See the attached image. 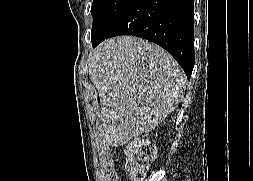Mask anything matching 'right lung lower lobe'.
Listing matches in <instances>:
<instances>
[{"mask_svg": "<svg viewBox=\"0 0 253 181\" xmlns=\"http://www.w3.org/2000/svg\"><path fill=\"white\" fill-rule=\"evenodd\" d=\"M193 14V0H131L99 35L91 36L92 45L119 35L150 40L166 49L190 79L194 66Z\"/></svg>", "mask_w": 253, "mask_h": 181, "instance_id": "1", "label": "right lung lower lobe"}]
</instances>
